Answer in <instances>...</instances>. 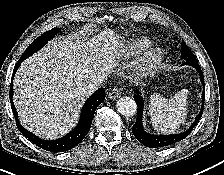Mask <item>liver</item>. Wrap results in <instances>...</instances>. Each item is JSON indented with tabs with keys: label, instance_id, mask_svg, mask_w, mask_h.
<instances>
[{
	"label": "liver",
	"instance_id": "1",
	"mask_svg": "<svg viewBox=\"0 0 224 175\" xmlns=\"http://www.w3.org/2000/svg\"><path fill=\"white\" fill-rule=\"evenodd\" d=\"M111 29L87 40L61 37L27 58L14 78L13 102L24 128L44 139L66 134L88 97L84 85L105 78L123 51Z\"/></svg>",
	"mask_w": 224,
	"mask_h": 175
}]
</instances>
